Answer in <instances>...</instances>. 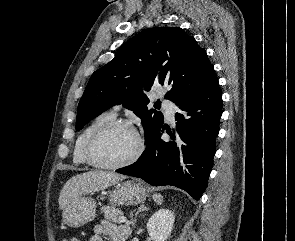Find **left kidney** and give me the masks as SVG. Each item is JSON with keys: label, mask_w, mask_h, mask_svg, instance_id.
Returning <instances> with one entry per match:
<instances>
[{"label": "left kidney", "mask_w": 295, "mask_h": 241, "mask_svg": "<svg viewBox=\"0 0 295 241\" xmlns=\"http://www.w3.org/2000/svg\"><path fill=\"white\" fill-rule=\"evenodd\" d=\"M175 221L174 213L169 209L156 211L148 220L147 230L153 241H166Z\"/></svg>", "instance_id": "1"}]
</instances>
